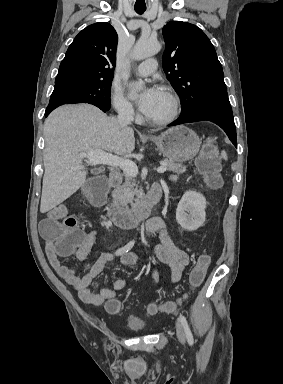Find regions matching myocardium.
<instances>
[{"label":"myocardium","instance_id":"myocardium-1","mask_svg":"<svg viewBox=\"0 0 283 384\" xmlns=\"http://www.w3.org/2000/svg\"><path fill=\"white\" fill-rule=\"evenodd\" d=\"M163 93H165V95L167 96L169 103H170L169 114L163 118H160V119H148V118L144 117V121L150 125H153V126L168 125V124L172 123L177 118V116L179 114L180 103H179V99L175 95V93L168 88H164Z\"/></svg>","mask_w":283,"mask_h":384}]
</instances>
